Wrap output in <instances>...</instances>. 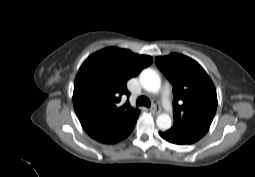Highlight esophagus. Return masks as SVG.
Segmentation results:
<instances>
[{"label":"esophagus","instance_id":"obj_1","mask_svg":"<svg viewBox=\"0 0 255 177\" xmlns=\"http://www.w3.org/2000/svg\"><path fill=\"white\" fill-rule=\"evenodd\" d=\"M150 111H151V113L154 114V115H158V114L161 112L160 108L157 107L156 105H153V106L150 108Z\"/></svg>","mask_w":255,"mask_h":177}]
</instances>
